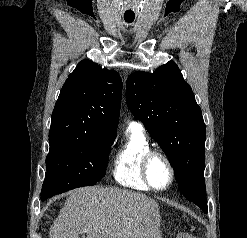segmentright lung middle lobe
<instances>
[{"label":"right lung middle lobe","instance_id":"right-lung-middle-lobe-1","mask_svg":"<svg viewBox=\"0 0 247 238\" xmlns=\"http://www.w3.org/2000/svg\"><path fill=\"white\" fill-rule=\"evenodd\" d=\"M114 140L95 132L49 136L50 150L46 157L41 200L99 181L105 173Z\"/></svg>","mask_w":247,"mask_h":238}]
</instances>
